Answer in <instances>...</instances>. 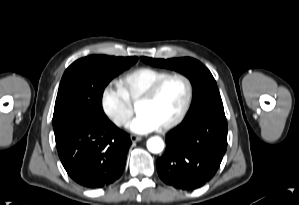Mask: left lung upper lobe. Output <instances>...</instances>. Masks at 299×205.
<instances>
[{
  "instance_id": "left-lung-upper-lobe-1",
  "label": "left lung upper lobe",
  "mask_w": 299,
  "mask_h": 205,
  "mask_svg": "<svg viewBox=\"0 0 299 205\" xmlns=\"http://www.w3.org/2000/svg\"><path fill=\"white\" fill-rule=\"evenodd\" d=\"M141 60L152 66L176 70L190 79L193 85V100L184 120L198 119L213 111L224 110L216 81L198 60L190 57L167 60L141 57Z\"/></svg>"
}]
</instances>
